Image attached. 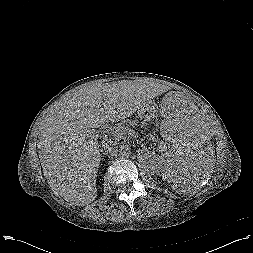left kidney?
<instances>
[{"label": "left kidney", "instance_id": "left-kidney-1", "mask_svg": "<svg viewBox=\"0 0 253 253\" xmlns=\"http://www.w3.org/2000/svg\"><path fill=\"white\" fill-rule=\"evenodd\" d=\"M186 189L185 186H181L180 189H178L179 191H184Z\"/></svg>", "mask_w": 253, "mask_h": 253}]
</instances>
